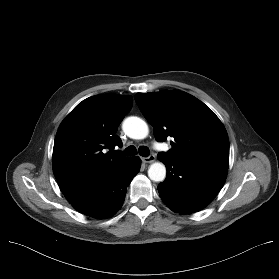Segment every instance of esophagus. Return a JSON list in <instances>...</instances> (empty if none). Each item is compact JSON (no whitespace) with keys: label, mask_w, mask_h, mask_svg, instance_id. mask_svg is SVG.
<instances>
[{"label":"esophagus","mask_w":279,"mask_h":279,"mask_svg":"<svg viewBox=\"0 0 279 279\" xmlns=\"http://www.w3.org/2000/svg\"><path fill=\"white\" fill-rule=\"evenodd\" d=\"M155 160H156V157H155L154 155H150V156H148V157L142 158V161H143L144 163H152V162H154Z\"/></svg>","instance_id":"34e87169"}]
</instances>
